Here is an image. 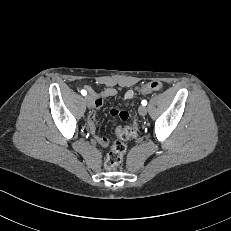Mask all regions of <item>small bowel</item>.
Returning a JSON list of instances; mask_svg holds the SVG:
<instances>
[{"label": "small bowel", "instance_id": "1", "mask_svg": "<svg viewBox=\"0 0 231 231\" xmlns=\"http://www.w3.org/2000/svg\"><path fill=\"white\" fill-rule=\"evenodd\" d=\"M84 89H86L90 93V96L93 98L95 109L100 108L106 98L120 96L123 100L128 101L132 99L134 95V92L131 89L121 92L117 88L108 87L100 92H96L89 85H85ZM121 112H123V110L112 109L110 111V115L113 117H119ZM88 127L98 144H100L101 146H107L109 144V140L106 137L101 136L98 132L95 111H92L89 115Z\"/></svg>", "mask_w": 231, "mask_h": 231}]
</instances>
